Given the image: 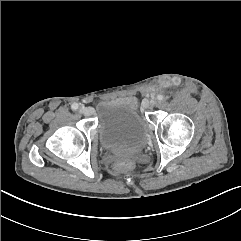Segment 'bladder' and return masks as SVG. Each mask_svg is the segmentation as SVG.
<instances>
[{"label": "bladder", "instance_id": "31cf9c89", "mask_svg": "<svg viewBox=\"0 0 241 241\" xmlns=\"http://www.w3.org/2000/svg\"><path fill=\"white\" fill-rule=\"evenodd\" d=\"M101 144L116 154L135 155L146 146L147 126L136 109L123 101H105L98 108Z\"/></svg>", "mask_w": 241, "mask_h": 241}]
</instances>
